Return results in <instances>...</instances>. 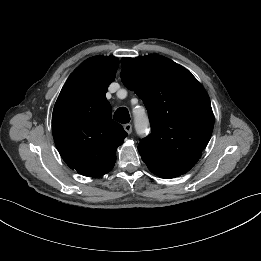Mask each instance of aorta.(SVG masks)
<instances>
[{"instance_id":"1","label":"aorta","mask_w":261,"mask_h":261,"mask_svg":"<svg viewBox=\"0 0 261 261\" xmlns=\"http://www.w3.org/2000/svg\"><path fill=\"white\" fill-rule=\"evenodd\" d=\"M146 125V119L143 118V119H137L136 120V127H137V130L139 131V133H143L144 132V126Z\"/></svg>"}]
</instances>
